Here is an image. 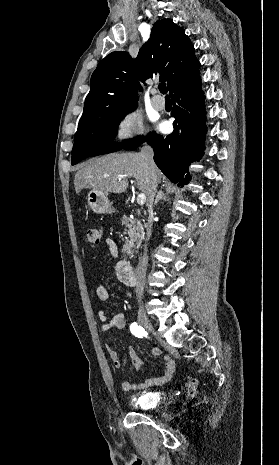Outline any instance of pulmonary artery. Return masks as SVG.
<instances>
[{
    "instance_id": "e3ab8cb5",
    "label": "pulmonary artery",
    "mask_w": 279,
    "mask_h": 465,
    "mask_svg": "<svg viewBox=\"0 0 279 465\" xmlns=\"http://www.w3.org/2000/svg\"><path fill=\"white\" fill-rule=\"evenodd\" d=\"M151 102L153 107L157 110H163L165 107V100L161 96L157 95L156 91H153L152 93Z\"/></svg>"
}]
</instances>
